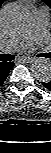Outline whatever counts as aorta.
<instances>
[{
	"mask_svg": "<svg viewBox=\"0 0 51 153\" xmlns=\"http://www.w3.org/2000/svg\"><path fill=\"white\" fill-rule=\"evenodd\" d=\"M1 24L3 30L9 35L22 33L29 24L28 11L17 3L9 4L2 9ZM31 72L38 81L49 82L51 62L45 58H38L31 65Z\"/></svg>",
	"mask_w": 51,
	"mask_h": 153,
	"instance_id": "obj_1",
	"label": "aorta"
}]
</instances>
